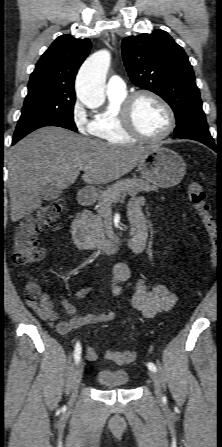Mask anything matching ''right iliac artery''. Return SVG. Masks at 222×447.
Returning <instances> with one entry per match:
<instances>
[{"mask_svg": "<svg viewBox=\"0 0 222 447\" xmlns=\"http://www.w3.org/2000/svg\"><path fill=\"white\" fill-rule=\"evenodd\" d=\"M81 357V345L79 342H77L76 346H75V350H74V359L75 362L78 363V361L80 360Z\"/></svg>", "mask_w": 222, "mask_h": 447, "instance_id": "82829eb1", "label": "right iliac artery"}]
</instances>
